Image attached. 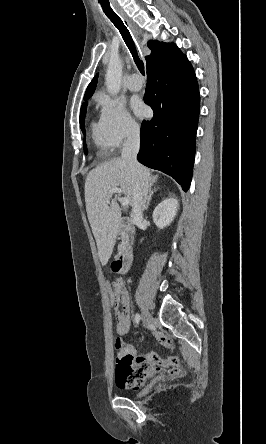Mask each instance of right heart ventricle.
Instances as JSON below:
<instances>
[{"instance_id": "1", "label": "right heart ventricle", "mask_w": 266, "mask_h": 444, "mask_svg": "<svg viewBox=\"0 0 266 444\" xmlns=\"http://www.w3.org/2000/svg\"><path fill=\"white\" fill-rule=\"evenodd\" d=\"M91 136L95 146L103 155H108L110 152V146L103 134L100 123L92 122L91 124Z\"/></svg>"}]
</instances>
